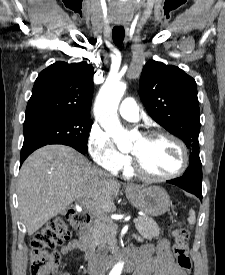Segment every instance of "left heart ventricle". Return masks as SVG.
Returning a JSON list of instances; mask_svg holds the SVG:
<instances>
[{"label": "left heart ventricle", "instance_id": "b2bd125f", "mask_svg": "<svg viewBox=\"0 0 225 275\" xmlns=\"http://www.w3.org/2000/svg\"><path fill=\"white\" fill-rule=\"evenodd\" d=\"M131 153L135 154L143 168L154 175H166L176 171L181 164V152L171 140L140 137Z\"/></svg>", "mask_w": 225, "mask_h": 275}]
</instances>
